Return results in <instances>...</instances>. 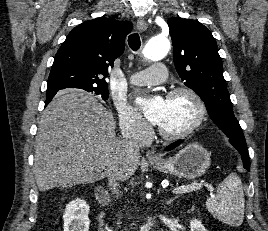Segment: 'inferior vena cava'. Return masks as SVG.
<instances>
[{
	"instance_id": "602c4592",
	"label": "inferior vena cava",
	"mask_w": 268,
	"mask_h": 231,
	"mask_svg": "<svg viewBox=\"0 0 268 231\" xmlns=\"http://www.w3.org/2000/svg\"><path fill=\"white\" fill-rule=\"evenodd\" d=\"M122 135L124 145L135 152H139V145L135 137L129 131H123ZM107 178H108V185L112 192L113 198L117 200L119 197L120 181L123 180L122 174L119 171L115 172L109 171Z\"/></svg>"
}]
</instances>
